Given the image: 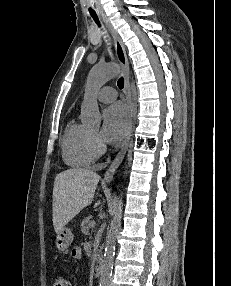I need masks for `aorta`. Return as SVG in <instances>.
Segmentation results:
<instances>
[{"label":"aorta","mask_w":231,"mask_h":286,"mask_svg":"<svg viewBox=\"0 0 231 286\" xmlns=\"http://www.w3.org/2000/svg\"><path fill=\"white\" fill-rule=\"evenodd\" d=\"M119 68L115 64L95 65L89 72L81 106V121L87 126L98 127L101 115L95 93L109 79L116 76ZM122 197H118L114 206L113 219L106 236V245L101 264L100 286H109L115 254L116 237L121 226Z\"/></svg>","instance_id":"aorta-1"}]
</instances>
